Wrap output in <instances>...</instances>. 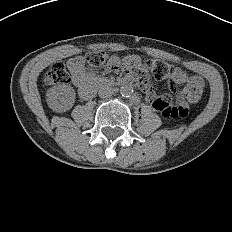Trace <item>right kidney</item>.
Listing matches in <instances>:
<instances>
[{
  "instance_id": "obj_1",
  "label": "right kidney",
  "mask_w": 232,
  "mask_h": 232,
  "mask_svg": "<svg viewBox=\"0 0 232 232\" xmlns=\"http://www.w3.org/2000/svg\"><path fill=\"white\" fill-rule=\"evenodd\" d=\"M48 106L55 112L70 110L75 102V91L71 86L55 85L46 93Z\"/></svg>"
}]
</instances>
